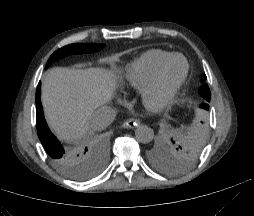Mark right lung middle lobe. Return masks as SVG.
Instances as JSON below:
<instances>
[{"instance_id": "dd1d6c3e", "label": "right lung middle lobe", "mask_w": 254, "mask_h": 216, "mask_svg": "<svg viewBox=\"0 0 254 216\" xmlns=\"http://www.w3.org/2000/svg\"><path fill=\"white\" fill-rule=\"evenodd\" d=\"M104 44H70L54 52L49 58L46 67L54 61L71 54L93 53L101 50ZM86 147L80 146L74 149L76 157L55 164V166L65 175L76 180L88 179L95 175L103 166L104 154L97 147H87L90 150L91 161L84 162L79 155L84 152Z\"/></svg>"}]
</instances>
